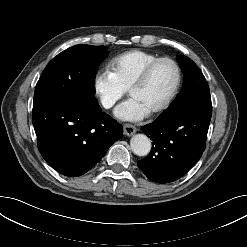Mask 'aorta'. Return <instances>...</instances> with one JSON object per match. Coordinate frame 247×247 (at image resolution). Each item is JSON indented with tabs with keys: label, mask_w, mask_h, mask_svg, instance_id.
Wrapping results in <instances>:
<instances>
[{
	"label": "aorta",
	"mask_w": 247,
	"mask_h": 247,
	"mask_svg": "<svg viewBox=\"0 0 247 247\" xmlns=\"http://www.w3.org/2000/svg\"><path fill=\"white\" fill-rule=\"evenodd\" d=\"M131 150L137 156H145L151 150V141L144 134H136L130 140Z\"/></svg>",
	"instance_id": "obj_1"
}]
</instances>
